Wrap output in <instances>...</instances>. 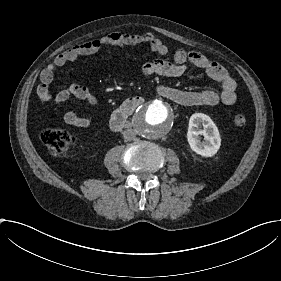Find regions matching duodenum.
Returning <instances> with one entry per match:
<instances>
[{
	"label": "duodenum",
	"instance_id": "obj_1",
	"mask_svg": "<svg viewBox=\"0 0 281 281\" xmlns=\"http://www.w3.org/2000/svg\"><path fill=\"white\" fill-rule=\"evenodd\" d=\"M143 103L141 97H132L125 100L118 108L114 110L110 119V126L113 130L122 129L127 123L128 118Z\"/></svg>",
	"mask_w": 281,
	"mask_h": 281
}]
</instances>
